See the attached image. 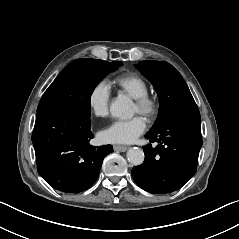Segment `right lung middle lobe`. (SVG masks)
I'll list each match as a JSON object with an SVG mask.
<instances>
[{
	"mask_svg": "<svg viewBox=\"0 0 239 239\" xmlns=\"http://www.w3.org/2000/svg\"><path fill=\"white\" fill-rule=\"evenodd\" d=\"M120 61L77 59L71 62L42 96L37 112L58 105H75L90 114V98L98 83L110 72L117 70Z\"/></svg>",
	"mask_w": 239,
	"mask_h": 239,
	"instance_id": "1",
	"label": "right lung middle lobe"
}]
</instances>
